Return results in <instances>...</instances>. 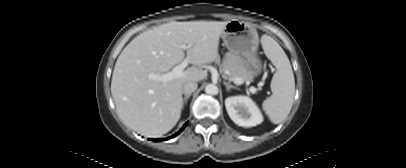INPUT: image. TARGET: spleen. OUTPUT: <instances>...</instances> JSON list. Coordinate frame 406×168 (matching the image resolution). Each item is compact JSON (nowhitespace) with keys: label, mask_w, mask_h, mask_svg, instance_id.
<instances>
[{"label":"spleen","mask_w":406,"mask_h":168,"mask_svg":"<svg viewBox=\"0 0 406 168\" xmlns=\"http://www.w3.org/2000/svg\"><path fill=\"white\" fill-rule=\"evenodd\" d=\"M262 46L277 69L270 84L272 95L264 100L262 108L272 123L279 124L292 109L295 95L294 74L287 55L274 39L264 35Z\"/></svg>","instance_id":"3e777b00"}]
</instances>
